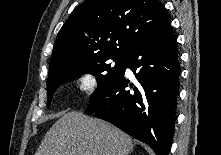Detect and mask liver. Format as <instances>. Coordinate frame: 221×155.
<instances>
[{
	"instance_id": "6515ba94",
	"label": "liver",
	"mask_w": 221,
	"mask_h": 155,
	"mask_svg": "<svg viewBox=\"0 0 221 155\" xmlns=\"http://www.w3.org/2000/svg\"><path fill=\"white\" fill-rule=\"evenodd\" d=\"M132 139L115 126L67 112L45 134L35 155H129Z\"/></svg>"
}]
</instances>
